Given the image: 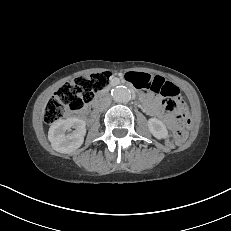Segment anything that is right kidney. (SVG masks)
Instances as JSON below:
<instances>
[{
  "label": "right kidney",
  "mask_w": 231,
  "mask_h": 231,
  "mask_svg": "<svg viewBox=\"0 0 231 231\" xmlns=\"http://www.w3.org/2000/svg\"><path fill=\"white\" fill-rule=\"evenodd\" d=\"M85 122L79 118L57 120L48 131V139L52 148L60 153H70L78 149L84 141L86 133ZM75 129L72 133L67 131Z\"/></svg>",
  "instance_id": "ca27d5eb"
}]
</instances>
